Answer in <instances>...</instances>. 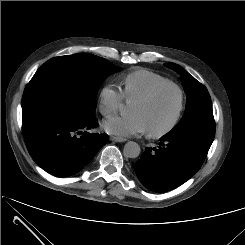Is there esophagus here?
Instances as JSON below:
<instances>
[{"mask_svg":"<svg viewBox=\"0 0 245 245\" xmlns=\"http://www.w3.org/2000/svg\"><path fill=\"white\" fill-rule=\"evenodd\" d=\"M110 140L115 141V142H125L126 139L122 137H116V136H111Z\"/></svg>","mask_w":245,"mask_h":245,"instance_id":"esophagus-1","label":"esophagus"}]
</instances>
